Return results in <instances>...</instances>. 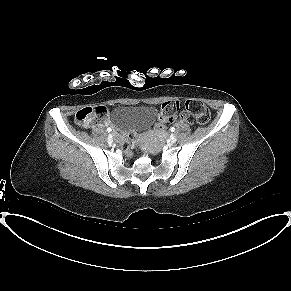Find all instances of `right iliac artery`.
I'll return each instance as SVG.
<instances>
[{
  "mask_svg": "<svg viewBox=\"0 0 291 291\" xmlns=\"http://www.w3.org/2000/svg\"><path fill=\"white\" fill-rule=\"evenodd\" d=\"M107 131L110 132L111 131V128H107Z\"/></svg>",
  "mask_w": 291,
  "mask_h": 291,
  "instance_id": "1",
  "label": "right iliac artery"
}]
</instances>
